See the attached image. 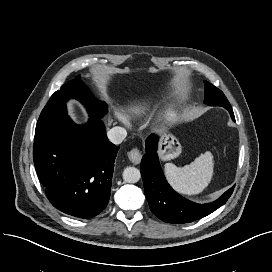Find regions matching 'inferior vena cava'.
<instances>
[{"label":"inferior vena cava","mask_w":272,"mask_h":272,"mask_svg":"<svg viewBox=\"0 0 272 272\" xmlns=\"http://www.w3.org/2000/svg\"><path fill=\"white\" fill-rule=\"evenodd\" d=\"M108 139L114 144H120L127 136V131L123 127H113L107 132Z\"/></svg>","instance_id":"obj_1"}]
</instances>
